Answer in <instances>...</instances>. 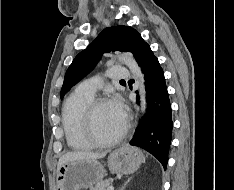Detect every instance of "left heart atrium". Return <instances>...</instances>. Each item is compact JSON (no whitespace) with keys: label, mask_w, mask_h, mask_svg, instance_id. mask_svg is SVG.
<instances>
[{"label":"left heart atrium","mask_w":234,"mask_h":190,"mask_svg":"<svg viewBox=\"0 0 234 190\" xmlns=\"http://www.w3.org/2000/svg\"><path fill=\"white\" fill-rule=\"evenodd\" d=\"M108 103L117 117L121 121L125 122L127 113L122 99L119 97H113Z\"/></svg>","instance_id":"obj_1"}]
</instances>
